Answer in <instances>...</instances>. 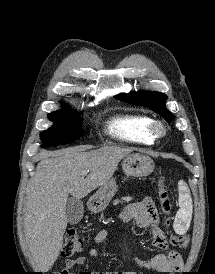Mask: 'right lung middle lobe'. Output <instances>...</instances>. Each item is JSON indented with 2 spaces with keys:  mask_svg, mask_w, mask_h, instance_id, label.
Wrapping results in <instances>:
<instances>
[{
  "mask_svg": "<svg viewBox=\"0 0 215 274\" xmlns=\"http://www.w3.org/2000/svg\"><path fill=\"white\" fill-rule=\"evenodd\" d=\"M48 118L54 122V125L40 133L43 141L42 148L48 145L58 146L72 143L82 133L81 118L69 108L48 114Z\"/></svg>",
  "mask_w": 215,
  "mask_h": 274,
  "instance_id": "1",
  "label": "right lung middle lobe"
}]
</instances>
